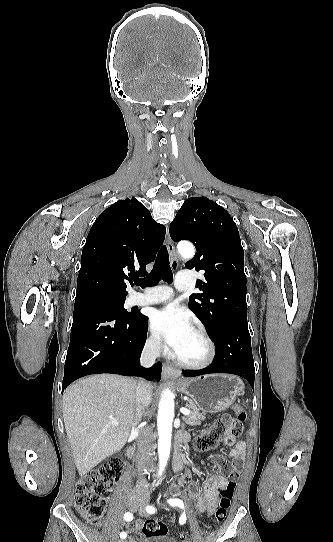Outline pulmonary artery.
<instances>
[{"instance_id":"e3ab8cb5","label":"pulmonary artery","mask_w":333,"mask_h":542,"mask_svg":"<svg viewBox=\"0 0 333 542\" xmlns=\"http://www.w3.org/2000/svg\"><path fill=\"white\" fill-rule=\"evenodd\" d=\"M192 274L191 268H186L185 271L179 270L176 272L175 277L177 279L176 288L180 292H184L188 288V283L191 280L190 275ZM131 293H136L135 290H131ZM169 287L167 285H146L144 287L143 300L134 301V305H157L170 301L174 294H168Z\"/></svg>"}]
</instances>
